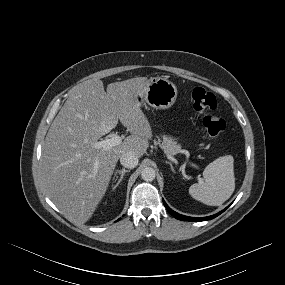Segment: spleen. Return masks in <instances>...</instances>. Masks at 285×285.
<instances>
[{"label":"spleen","mask_w":285,"mask_h":285,"mask_svg":"<svg viewBox=\"0 0 285 285\" xmlns=\"http://www.w3.org/2000/svg\"><path fill=\"white\" fill-rule=\"evenodd\" d=\"M234 159L231 155L217 158L203 171L204 180L190 186L189 194L210 206H220L235 189Z\"/></svg>","instance_id":"1"}]
</instances>
